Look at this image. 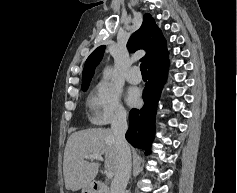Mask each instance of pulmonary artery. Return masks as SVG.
Masks as SVG:
<instances>
[{"label": "pulmonary artery", "mask_w": 237, "mask_h": 193, "mask_svg": "<svg viewBox=\"0 0 237 193\" xmlns=\"http://www.w3.org/2000/svg\"><path fill=\"white\" fill-rule=\"evenodd\" d=\"M126 79L129 83L132 84L140 83L142 81V76L139 72V68L136 66L132 67L126 76Z\"/></svg>", "instance_id": "obj_1"}]
</instances>
